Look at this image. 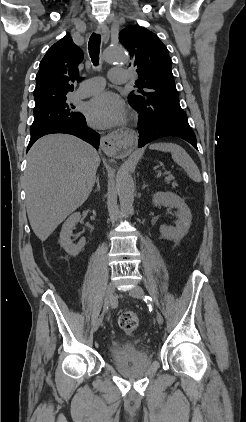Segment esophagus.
Segmentation results:
<instances>
[{
	"instance_id": "1",
	"label": "esophagus",
	"mask_w": 246,
	"mask_h": 422,
	"mask_svg": "<svg viewBox=\"0 0 246 422\" xmlns=\"http://www.w3.org/2000/svg\"><path fill=\"white\" fill-rule=\"evenodd\" d=\"M96 33L101 35L104 44L108 43L110 34L106 26L97 27ZM121 145L122 141L116 135L110 134L101 138V148L107 155H116Z\"/></svg>"
}]
</instances>
